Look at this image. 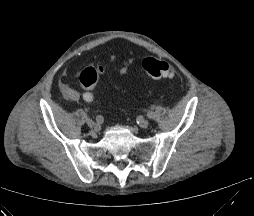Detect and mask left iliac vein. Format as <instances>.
<instances>
[{
    "instance_id": "4c4485c4",
    "label": "left iliac vein",
    "mask_w": 254,
    "mask_h": 216,
    "mask_svg": "<svg viewBox=\"0 0 254 216\" xmlns=\"http://www.w3.org/2000/svg\"><path fill=\"white\" fill-rule=\"evenodd\" d=\"M149 126V121L146 120V119H142L140 122H139V127L140 128H147Z\"/></svg>"
}]
</instances>
